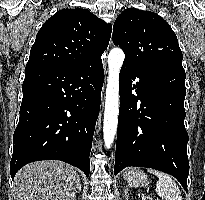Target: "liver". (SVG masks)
<instances>
[{"instance_id":"obj_1","label":"liver","mask_w":205,"mask_h":200,"mask_svg":"<svg viewBox=\"0 0 205 200\" xmlns=\"http://www.w3.org/2000/svg\"><path fill=\"white\" fill-rule=\"evenodd\" d=\"M79 175L61 161H36L22 167L14 178L15 200H72Z\"/></svg>"}]
</instances>
